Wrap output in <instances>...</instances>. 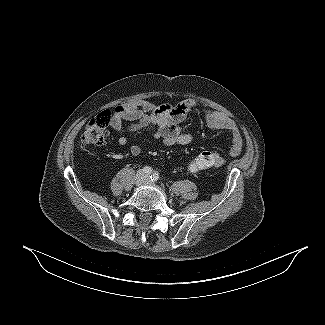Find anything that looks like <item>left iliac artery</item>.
Segmentation results:
<instances>
[{
    "label": "left iliac artery",
    "instance_id": "obj_1",
    "mask_svg": "<svg viewBox=\"0 0 325 325\" xmlns=\"http://www.w3.org/2000/svg\"><path fill=\"white\" fill-rule=\"evenodd\" d=\"M151 181H154V182H156V181H158V179H159V174H158V172H154L152 175H151Z\"/></svg>",
    "mask_w": 325,
    "mask_h": 325
}]
</instances>
